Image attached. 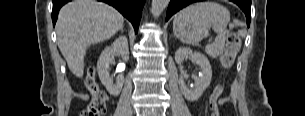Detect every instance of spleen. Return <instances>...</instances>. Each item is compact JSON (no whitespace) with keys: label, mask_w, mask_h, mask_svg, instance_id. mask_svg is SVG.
<instances>
[{"label":"spleen","mask_w":305,"mask_h":116,"mask_svg":"<svg viewBox=\"0 0 305 116\" xmlns=\"http://www.w3.org/2000/svg\"><path fill=\"white\" fill-rule=\"evenodd\" d=\"M230 13L224 6L215 2H198L187 6L175 17V34L183 43L196 45L208 36L209 28L220 36L213 47L223 46L222 33L226 31Z\"/></svg>","instance_id":"spleen-1"}]
</instances>
